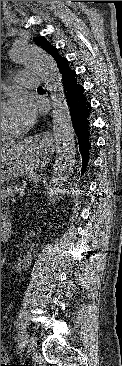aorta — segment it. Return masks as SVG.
<instances>
[{"instance_id": "aorta-1", "label": "aorta", "mask_w": 122, "mask_h": 366, "mask_svg": "<svg viewBox=\"0 0 122 366\" xmlns=\"http://www.w3.org/2000/svg\"><path fill=\"white\" fill-rule=\"evenodd\" d=\"M10 58L13 63L37 73L45 83L52 100L51 118L56 156L50 179L49 196L53 198L73 172L76 154L75 133L62 77L54 58L35 44H14L10 49Z\"/></svg>"}]
</instances>
